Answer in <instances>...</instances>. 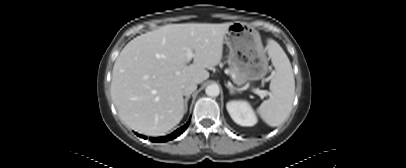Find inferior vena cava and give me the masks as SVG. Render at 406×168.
Here are the masks:
<instances>
[{
    "label": "inferior vena cava",
    "mask_w": 406,
    "mask_h": 168,
    "mask_svg": "<svg viewBox=\"0 0 406 168\" xmlns=\"http://www.w3.org/2000/svg\"><path fill=\"white\" fill-rule=\"evenodd\" d=\"M197 89V84L195 82H187L182 87V93L184 96H190L192 92Z\"/></svg>",
    "instance_id": "1"
}]
</instances>
